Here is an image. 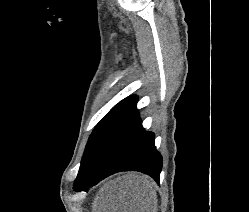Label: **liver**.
<instances>
[{"label":"liver","mask_w":249,"mask_h":212,"mask_svg":"<svg viewBox=\"0 0 249 212\" xmlns=\"http://www.w3.org/2000/svg\"><path fill=\"white\" fill-rule=\"evenodd\" d=\"M157 196L148 176L127 172L100 188L94 212H157Z\"/></svg>","instance_id":"liver-1"}]
</instances>
